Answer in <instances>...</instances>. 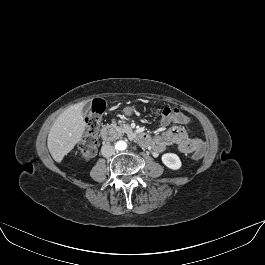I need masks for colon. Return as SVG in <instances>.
<instances>
[{"instance_id":"5ec220e1","label":"colon","mask_w":265,"mask_h":265,"mask_svg":"<svg viewBox=\"0 0 265 265\" xmlns=\"http://www.w3.org/2000/svg\"><path fill=\"white\" fill-rule=\"evenodd\" d=\"M105 110V105L102 101H95L92 105L91 111L86 119V133L78 146L79 155L88 160L92 158L98 147V131L101 125L102 116ZM153 110L162 117L173 118L180 122H187V116L178 108L154 107ZM203 157V151L197 150L193 154L195 160H199Z\"/></svg>"}]
</instances>
